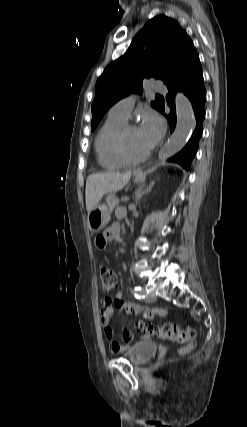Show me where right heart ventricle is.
<instances>
[{"label": "right heart ventricle", "mask_w": 247, "mask_h": 427, "mask_svg": "<svg viewBox=\"0 0 247 427\" xmlns=\"http://www.w3.org/2000/svg\"><path fill=\"white\" fill-rule=\"evenodd\" d=\"M125 124V120L108 116L99 128L95 140L94 150L98 164L107 170H116L127 165L117 155L115 150V139Z\"/></svg>", "instance_id": "obj_1"}]
</instances>
